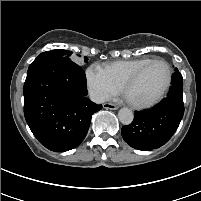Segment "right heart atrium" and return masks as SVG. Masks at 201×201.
Returning <instances> with one entry per match:
<instances>
[{
  "mask_svg": "<svg viewBox=\"0 0 201 201\" xmlns=\"http://www.w3.org/2000/svg\"><path fill=\"white\" fill-rule=\"evenodd\" d=\"M89 93L96 102H104L116 96L119 86L100 65L89 66L85 73Z\"/></svg>",
  "mask_w": 201,
  "mask_h": 201,
  "instance_id": "right-heart-atrium-1",
  "label": "right heart atrium"
}]
</instances>
